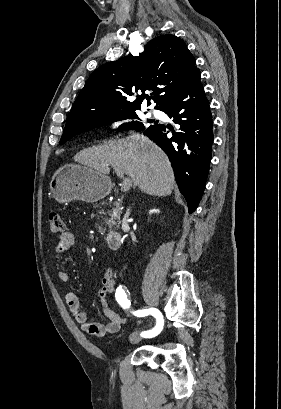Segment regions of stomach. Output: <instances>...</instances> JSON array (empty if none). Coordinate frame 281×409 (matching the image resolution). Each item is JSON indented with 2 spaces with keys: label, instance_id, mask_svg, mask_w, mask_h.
<instances>
[{
  "label": "stomach",
  "instance_id": "stomach-1",
  "mask_svg": "<svg viewBox=\"0 0 281 409\" xmlns=\"http://www.w3.org/2000/svg\"><path fill=\"white\" fill-rule=\"evenodd\" d=\"M50 190L57 202H96L109 194L112 182L109 176L87 164H64L54 172Z\"/></svg>",
  "mask_w": 281,
  "mask_h": 409
}]
</instances>
